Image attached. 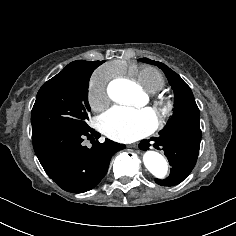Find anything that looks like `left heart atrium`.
Returning a JSON list of instances; mask_svg holds the SVG:
<instances>
[{
  "mask_svg": "<svg viewBox=\"0 0 236 236\" xmlns=\"http://www.w3.org/2000/svg\"><path fill=\"white\" fill-rule=\"evenodd\" d=\"M156 122V114L150 108L114 106L100 120L102 132L119 142H132L150 133Z\"/></svg>",
  "mask_w": 236,
  "mask_h": 236,
  "instance_id": "39dd6f15",
  "label": "left heart atrium"
}]
</instances>
